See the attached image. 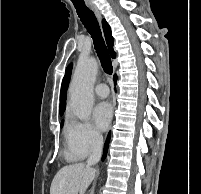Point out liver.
Masks as SVG:
<instances>
[{
    "label": "liver",
    "mask_w": 201,
    "mask_h": 194,
    "mask_svg": "<svg viewBox=\"0 0 201 194\" xmlns=\"http://www.w3.org/2000/svg\"><path fill=\"white\" fill-rule=\"evenodd\" d=\"M95 174L96 170L84 163L64 166L54 176L50 194H84Z\"/></svg>",
    "instance_id": "1"
}]
</instances>
